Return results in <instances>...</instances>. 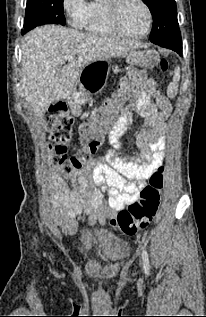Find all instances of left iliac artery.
Wrapping results in <instances>:
<instances>
[{"label": "left iliac artery", "instance_id": "1", "mask_svg": "<svg viewBox=\"0 0 206 317\" xmlns=\"http://www.w3.org/2000/svg\"><path fill=\"white\" fill-rule=\"evenodd\" d=\"M142 259H143V265H144V270L147 275H149L150 272V263H149V258L147 251L143 248L142 250Z\"/></svg>", "mask_w": 206, "mask_h": 317}]
</instances>
